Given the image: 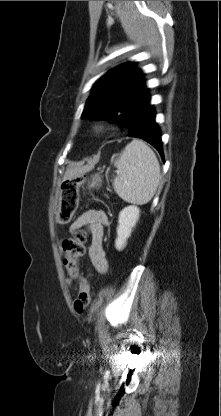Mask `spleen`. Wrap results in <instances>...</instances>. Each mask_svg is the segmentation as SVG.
Masks as SVG:
<instances>
[{
	"instance_id": "3e777b00",
	"label": "spleen",
	"mask_w": 221,
	"mask_h": 416,
	"mask_svg": "<svg viewBox=\"0 0 221 416\" xmlns=\"http://www.w3.org/2000/svg\"><path fill=\"white\" fill-rule=\"evenodd\" d=\"M117 176L115 192L124 201L133 204L148 203L160 183V165L153 150L142 140L134 139L126 145L114 161Z\"/></svg>"
}]
</instances>
